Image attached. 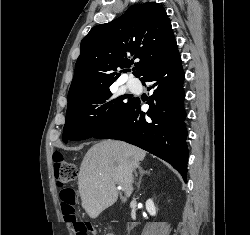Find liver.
I'll return each mask as SVG.
<instances>
[{"mask_svg": "<svg viewBox=\"0 0 250 235\" xmlns=\"http://www.w3.org/2000/svg\"><path fill=\"white\" fill-rule=\"evenodd\" d=\"M145 156L144 150L113 140L101 141L88 150L81 163L78 188L82 207L91 218L117 201L116 185L126 197L132 194L133 170Z\"/></svg>", "mask_w": 250, "mask_h": 235, "instance_id": "1", "label": "liver"}]
</instances>
